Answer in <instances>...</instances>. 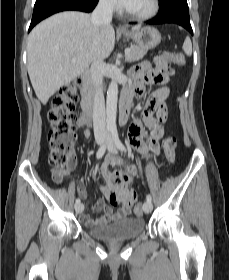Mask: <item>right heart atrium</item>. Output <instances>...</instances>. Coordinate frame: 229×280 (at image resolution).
I'll return each mask as SVG.
<instances>
[{"label": "right heart atrium", "instance_id": "d8ad5b80", "mask_svg": "<svg viewBox=\"0 0 229 280\" xmlns=\"http://www.w3.org/2000/svg\"><path fill=\"white\" fill-rule=\"evenodd\" d=\"M102 6L110 11L117 9L116 0H100Z\"/></svg>", "mask_w": 229, "mask_h": 280}]
</instances>
